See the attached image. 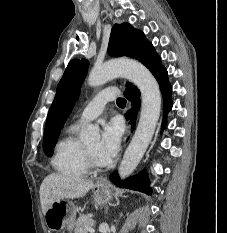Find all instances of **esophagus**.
Wrapping results in <instances>:
<instances>
[{
	"mask_svg": "<svg viewBox=\"0 0 227 233\" xmlns=\"http://www.w3.org/2000/svg\"><path fill=\"white\" fill-rule=\"evenodd\" d=\"M130 108H131V103L128 102L127 108H126V109L129 110ZM130 135H131V127H130V125H128L126 136L128 137V136H130ZM100 184H104V182H100Z\"/></svg>",
	"mask_w": 227,
	"mask_h": 233,
	"instance_id": "1",
	"label": "esophagus"
}]
</instances>
